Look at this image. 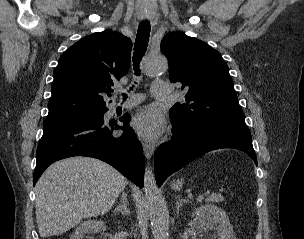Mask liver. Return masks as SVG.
<instances>
[{
    "instance_id": "obj_1",
    "label": "liver",
    "mask_w": 304,
    "mask_h": 239,
    "mask_svg": "<svg viewBox=\"0 0 304 239\" xmlns=\"http://www.w3.org/2000/svg\"><path fill=\"white\" fill-rule=\"evenodd\" d=\"M128 184L110 165L71 157L49 166L36 191V220L42 238L63 234L83 218L107 213Z\"/></svg>"
}]
</instances>
